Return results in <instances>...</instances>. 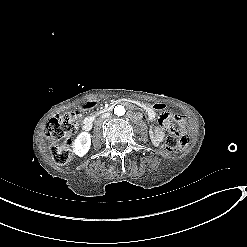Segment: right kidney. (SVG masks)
Listing matches in <instances>:
<instances>
[{"label": "right kidney", "instance_id": "1", "mask_svg": "<svg viewBox=\"0 0 247 247\" xmlns=\"http://www.w3.org/2000/svg\"><path fill=\"white\" fill-rule=\"evenodd\" d=\"M91 136L88 132H81L73 143V151L79 157H83L90 149Z\"/></svg>", "mask_w": 247, "mask_h": 247}]
</instances>
